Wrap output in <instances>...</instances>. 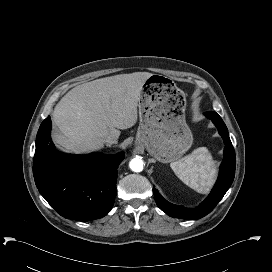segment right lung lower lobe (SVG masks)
I'll list each match as a JSON object with an SVG mask.
<instances>
[{
  "label": "right lung lower lobe",
  "mask_w": 272,
  "mask_h": 272,
  "mask_svg": "<svg viewBox=\"0 0 272 272\" xmlns=\"http://www.w3.org/2000/svg\"><path fill=\"white\" fill-rule=\"evenodd\" d=\"M48 116L36 137L33 175L47 202L63 217L90 221L104 217L116 197L117 168L124 152L115 155H65L50 137Z\"/></svg>",
  "instance_id": "right-lung-lower-lobe-1"
}]
</instances>
